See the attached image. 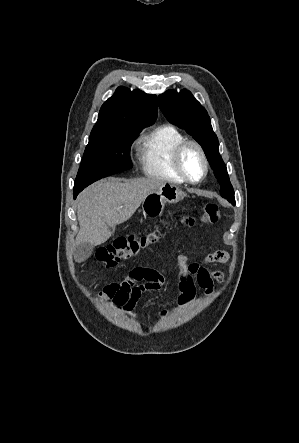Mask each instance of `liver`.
Segmentation results:
<instances>
[{
  "label": "liver",
  "mask_w": 299,
  "mask_h": 443,
  "mask_svg": "<svg viewBox=\"0 0 299 443\" xmlns=\"http://www.w3.org/2000/svg\"><path fill=\"white\" fill-rule=\"evenodd\" d=\"M165 183L152 178L109 177L83 190L77 198L80 230L76 244L96 246L106 242L111 228L130 219L146 196Z\"/></svg>",
  "instance_id": "obj_1"
}]
</instances>
